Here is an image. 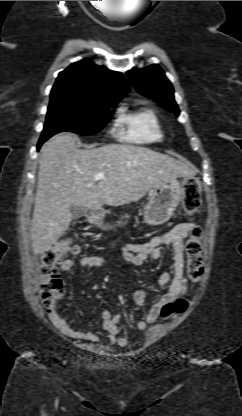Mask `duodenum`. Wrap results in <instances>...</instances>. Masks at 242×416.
<instances>
[{
  "instance_id": "duodenum-1",
  "label": "duodenum",
  "mask_w": 242,
  "mask_h": 416,
  "mask_svg": "<svg viewBox=\"0 0 242 416\" xmlns=\"http://www.w3.org/2000/svg\"><path fill=\"white\" fill-rule=\"evenodd\" d=\"M99 213H100V209H97V208H89L88 211H87V214L90 217L97 216Z\"/></svg>"
}]
</instances>
